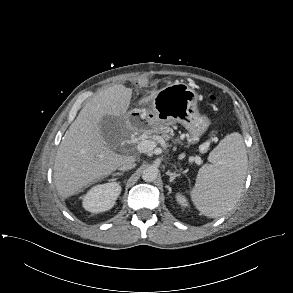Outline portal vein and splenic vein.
<instances>
[{
  "mask_svg": "<svg viewBox=\"0 0 293 293\" xmlns=\"http://www.w3.org/2000/svg\"><path fill=\"white\" fill-rule=\"evenodd\" d=\"M155 147H156V142L152 140H142L138 142V145H137V149L141 153L150 152ZM193 160L199 165L202 163V160L199 156L194 157Z\"/></svg>",
  "mask_w": 293,
  "mask_h": 293,
  "instance_id": "1",
  "label": "portal vein and splenic vein"
}]
</instances>
